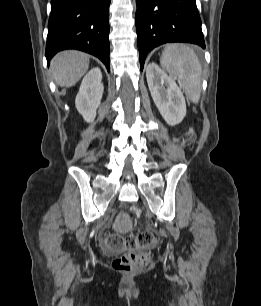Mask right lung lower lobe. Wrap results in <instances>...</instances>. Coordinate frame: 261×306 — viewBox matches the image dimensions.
I'll use <instances>...</instances> for the list:
<instances>
[{
  "instance_id": "right-lung-lower-lobe-1",
  "label": "right lung lower lobe",
  "mask_w": 261,
  "mask_h": 306,
  "mask_svg": "<svg viewBox=\"0 0 261 306\" xmlns=\"http://www.w3.org/2000/svg\"><path fill=\"white\" fill-rule=\"evenodd\" d=\"M110 0H51L46 58L78 49L98 57L109 71Z\"/></svg>"
}]
</instances>
